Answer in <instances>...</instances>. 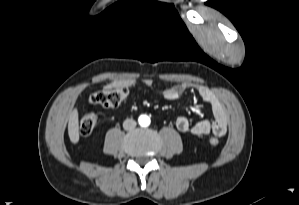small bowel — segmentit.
Segmentation results:
<instances>
[{"instance_id": "c3829d8e", "label": "small bowel", "mask_w": 299, "mask_h": 205, "mask_svg": "<svg viewBox=\"0 0 299 205\" xmlns=\"http://www.w3.org/2000/svg\"><path fill=\"white\" fill-rule=\"evenodd\" d=\"M120 85L131 87L142 86L145 88H149L153 85V81L151 79L115 80L112 81L106 88H114ZM190 89L196 90L199 96L205 102L211 105L213 118H204L194 124H191L190 120L187 117L180 116L175 122L176 128L180 132H190L191 134L196 136L208 135L210 133H214L218 136L225 135L229 121L228 111L221 98L207 86L184 81L163 89L162 95L166 100H176Z\"/></svg>"}]
</instances>
